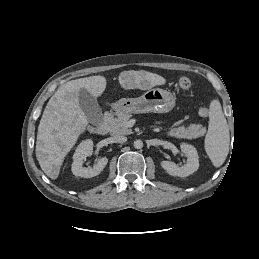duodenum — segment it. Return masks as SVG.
Here are the masks:
<instances>
[{"instance_id":"duodenum-1","label":"duodenum","mask_w":259,"mask_h":259,"mask_svg":"<svg viewBox=\"0 0 259 259\" xmlns=\"http://www.w3.org/2000/svg\"><path fill=\"white\" fill-rule=\"evenodd\" d=\"M112 113L108 112L105 117H104V121L95 125H90L88 127V130L90 133L92 134H96V135H103L106 133V121L111 117Z\"/></svg>"}]
</instances>
